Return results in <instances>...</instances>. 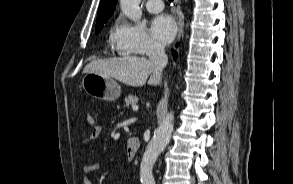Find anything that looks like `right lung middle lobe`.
Here are the masks:
<instances>
[{
	"instance_id": "right-lung-middle-lobe-1",
	"label": "right lung middle lobe",
	"mask_w": 293,
	"mask_h": 184,
	"mask_svg": "<svg viewBox=\"0 0 293 184\" xmlns=\"http://www.w3.org/2000/svg\"><path fill=\"white\" fill-rule=\"evenodd\" d=\"M102 27H103V25L96 26V28H95V32H96V33H99V32L101 31Z\"/></svg>"
}]
</instances>
